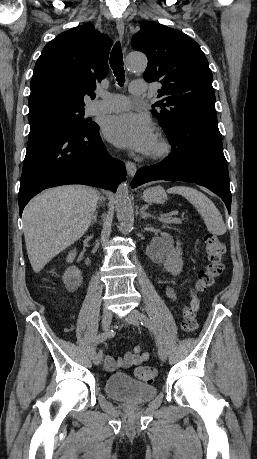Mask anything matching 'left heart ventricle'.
<instances>
[{"label": "left heart ventricle", "instance_id": "obj_1", "mask_svg": "<svg viewBox=\"0 0 257 459\" xmlns=\"http://www.w3.org/2000/svg\"><path fill=\"white\" fill-rule=\"evenodd\" d=\"M156 145H157V141H156V143H155V145H154V147H153V149L151 151H153L156 148Z\"/></svg>", "mask_w": 257, "mask_h": 459}]
</instances>
